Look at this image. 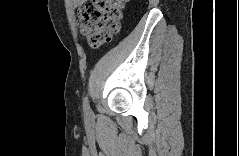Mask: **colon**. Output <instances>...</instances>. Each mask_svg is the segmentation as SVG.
Returning <instances> with one entry per match:
<instances>
[{
    "label": "colon",
    "instance_id": "colon-1",
    "mask_svg": "<svg viewBox=\"0 0 239 156\" xmlns=\"http://www.w3.org/2000/svg\"><path fill=\"white\" fill-rule=\"evenodd\" d=\"M123 8L120 0H91L80 4L78 24L90 46L100 47L118 32Z\"/></svg>",
    "mask_w": 239,
    "mask_h": 156
}]
</instances>
